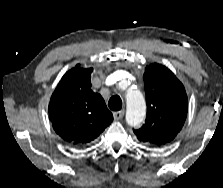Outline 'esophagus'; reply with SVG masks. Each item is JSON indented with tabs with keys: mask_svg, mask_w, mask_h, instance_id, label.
I'll use <instances>...</instances> for the list:
<instances>
[{
	"mask_svg": "<svg viewBox=\"0 0 223 188\" xmlns=\"http://www.w3.org/2000/svg\"><path fill=\"white\" fill-rule=\"evenodd\" d=\"M113 116H114V119H115V120H120V119H122L123 116H124V111L121 110V111L114 112V113H113Z\"/></svg>",
	"mask_w": 223,
	"mask_h": 188,
	"instance_id": "obj_1",
	"label": "esophagus"
}]
</instances>
